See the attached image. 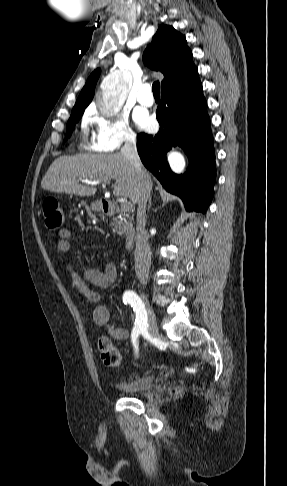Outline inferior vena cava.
Wrapping results in <instances>:
<instances>
[{"mask_svg": "<svg viewBox=\"0 0 287 486\" xmlns=\"http://www.w3.org/2000/svg\"><path fill=\"white\" fill-rule=\"evenodd\" d=\"M121 154L127 158L134 167L137 181V225H136V248H135V272L140 283L145 285L148 280L149 269L151 266V251L148 243L149 234L146 226V204L150 197L152 181L148 172L143 168L136 148V138L128 135Z\"/></svg>", "mask_w": 287, "mask_h": 486, "instance_id": "obj_1", "label": "inferior vena cava"}]
</instances>
